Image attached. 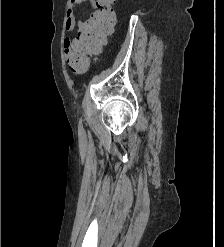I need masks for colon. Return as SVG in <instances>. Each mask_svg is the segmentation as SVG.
Returning <instances> with one entry per match:
<instances>
[{
  "label": "colon",
  "instance_id": "colon-1",
  "mask_svg": "<svg viewBox=\"0 0 224 247\" xmlns=\"http://www.w3.org/2000/svg\"><path fill=\"white\" fill-rule=\"evenodd\" d=\"M115 0H98L97 6L91 17L85 21L78 33V54L70 63L74 73L86 70L88 60L85 54L98 50L111 34L115 27L116 16L114 11Z\"/></svg>",
  "mask_w": 224,
  "mask_h": 247
}]
</instances>
